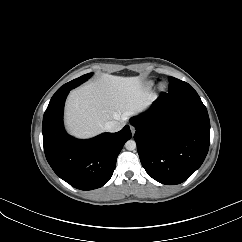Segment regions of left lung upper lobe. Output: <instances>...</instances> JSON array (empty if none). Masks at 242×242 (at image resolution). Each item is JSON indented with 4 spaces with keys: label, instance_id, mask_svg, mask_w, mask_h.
<instances>
[{
    "label": "left lung upper lobe",
    "instance_id": "5c2ea615",
    "mask_svg": "<svg viewBox=\"0 0 242 242\" xmlns=\"http://www.w3.org/2000/svg\"><path fill=\"white\" fill-rule=\"evenodd\" d=\"M169 90L168 94H185V93H196V91L186 82L181 81L174 77H169Z\"/></svg>",
    "mask_w": 242,
    "mask_h": 242
}]
</instances>
